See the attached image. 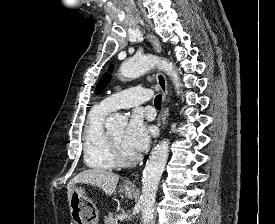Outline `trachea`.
I'll return each instance as SVG.
<instances>
[{
  "label": "trachea",
  "instance_id": "trachea-1",
  "mask_svg": "<svg viewBox=\"0 0 275 224\" xmlns=\"http://www.w3.org/2000/svg\"><path fill=\"white\" fill-rule=\"evenodd\" d=\"M161 100H162L161 94H159L155 97V100H154L155 107H157V108L161 107Z\"/></svg>",
  "mask_w": 275,
  "mask_h": 224
}]
</instances>
